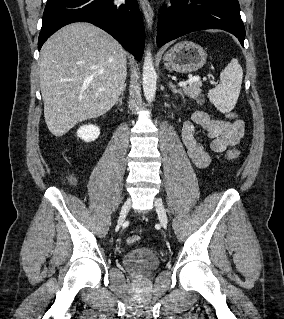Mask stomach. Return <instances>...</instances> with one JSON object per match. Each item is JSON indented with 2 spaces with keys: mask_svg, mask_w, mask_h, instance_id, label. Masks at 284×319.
I'll return each instance as SVG.
<instances>
[{
  "mask_svg": "<svg viewBox=\"0 0 284 319\" xmlns=\"http://www.w3.org/2000/svg\"><path fill=\"white\" fill-rule=\"evenodd\" d=\"M207 54L198 44L183 41L174 45L163 57L166 69L178 73H191L202 68Z\"/></svg>",
  "mask_w": 284,
  "mask_h": 319,
  "instance_id": "obj_1",
  "label": "stomach"
}]
</instances>
